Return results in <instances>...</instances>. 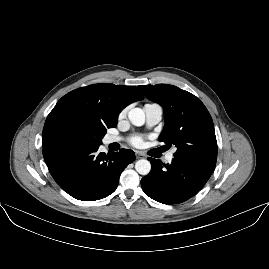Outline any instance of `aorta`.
<instances>
[{"label": "aorta", "instance_id": "aorta-1", "mask_svg": "<svg viewBox=\"0 0 269 269\" xmlns=\"http://www.w3.org/2000/svg\"><path fill=\"white\" fill-rule=\"evenodd\" d=\"M128 119L135 126H141L145 122V113L142 108L134 107L128 112ZM135 170L140 175H147L151 170V164L146 159H140L135 163Z\"/></svg>", "mask_w": 269, "mask_h": 269}]
</instances>
